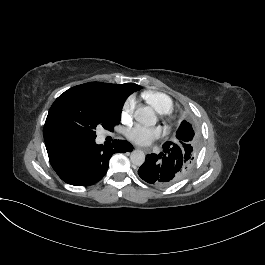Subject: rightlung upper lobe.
<instances>
[{
	"label": "right lung upper lobe",
	"mask_w": 265,
	"mask_h": 265,
	"mask_svg": "<svg viewBox=\"0 0 265 265\" xmlns=\"http://www.w3.org/2000/svg\"><path fill=\"white\" fill-rule=\"evenodd\" d=\"M112 85L127 91L129 94H131V93H133V92H135L141 88L139 85L134 84V83H126V84H121V85L112 84ZM44 140H45V145H46L48 156L53 155L59 149L65 147L64 145H60V144H56V143L52 142L51 140H49L46 137H44Z\"/></svg>",
	"instance_id": "cb5924a9"
}]
</instances>
